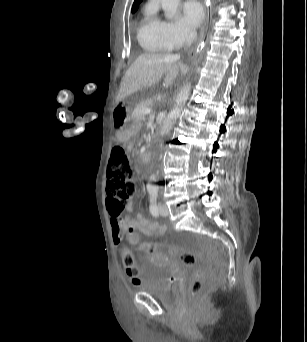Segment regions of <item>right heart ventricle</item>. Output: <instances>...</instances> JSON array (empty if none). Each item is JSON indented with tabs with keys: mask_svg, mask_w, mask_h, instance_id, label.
Masks as SVG:
<instances>
[{
	"mask_svg": "<svg viewBox=\"0 0 307 342\" xmlns=\"http://www.w3.org/2000/svg\"><path fill=\"white\" fill-rule=\"evenodd\" d=\"M138 43L145 54H157L167 49V44L155 35L140 33Z\"/></svg>",
	"mask_w": 307,
	"mask_h": 342,
	"instance_id": "right-heart-ventricle-1",
	"label": "right heart ventricle"
}]
</instances>
